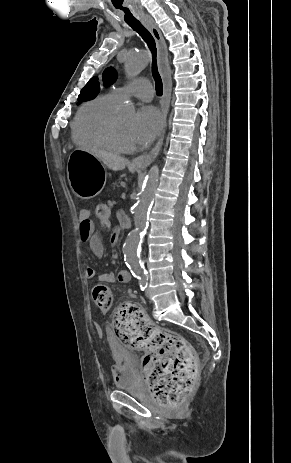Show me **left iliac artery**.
Wrapping results in <instances>:
<instances>
[{"mask_svg": "<svg viewBox=\"0 0 291 463\" xmlns=\"http://www.w3.org/2000/svg\"><path fill=\"white\" fill-rule=\"evenodd\" d=\"M139 279V286L142 291H144L147 288L148 285V278L145 276L138 277Z\"/></svg>", "mask_w": 291, "mask_h": 463, "instance_id": "obj_1", "label": "left iliac artery"}]
</instances>
